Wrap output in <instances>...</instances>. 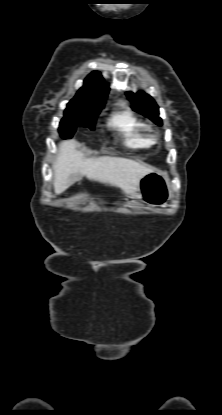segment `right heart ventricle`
Listing matches in <instances>:
<instances>
[{
    "mask_svg": "<svg viewBox=\"0 0 222 415\" xmlns=\"http://www.w3.org/2000/svg\"><path fill=\"white\" fill-rule=\"evenodd\" d=\"M109 125L120 133L127 146L148 148L153 145L147 125L129 109L115 113Z\"/></svg>",
    "mask_w": 222,
    "mask_h": 415,
    "instance_id": "1",
    "label": "right heart ventricle"
}]
</instances>
